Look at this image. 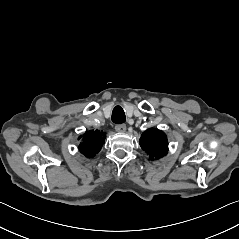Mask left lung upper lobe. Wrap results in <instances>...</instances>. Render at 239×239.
Wrapping results in <instances>:
<instances>
[{"mask_svg": "<svg viewBox=\"0 0 239 239\" xmlns=\"http://www.w3.org/2000/svg\"><path fill=\"white\" fill-rule=\"evenodd\" d=\"M139 143L151 160L162 158L168 151L167 137L164 132L158 129L150 128L146 130L141 135Z\"/></svg>", "mask_w": 239, "mask_h": 239, "instance_id": "left-lung-upper-lobe-1", "label": "left lung upper lobe"}]
</instances>
